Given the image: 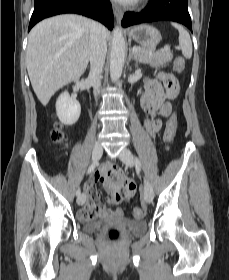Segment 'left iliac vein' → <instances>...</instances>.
Masks as SVG:
<instances>
[{
  "mask_svg": "<svg viewBox=\"0 0 229 280\" xmlns=\"http://www.w3.org/2000/svg\"><path fill=\"white\" fill-rule=\"evenodd\" d=\"M119 159L129 167H133L135 165L134 157L131 151L127 148L122 149ZM144 200L147 203H151L153 200V188L146 178L144 179Z\"/></svg>",
  "mask_w": 229,
  "mask_h": 280,
  "instance_id": "1",
  "label": "left iliac vein"
}]
</instances>
